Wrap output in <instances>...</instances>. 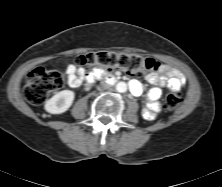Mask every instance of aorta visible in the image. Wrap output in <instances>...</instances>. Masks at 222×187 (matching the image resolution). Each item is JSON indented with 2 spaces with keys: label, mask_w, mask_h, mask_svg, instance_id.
Instances as JSON below:
<instances>
[{
  "label": "aorta",
  "mask_w": 222,
  "mask_h": 187,
  "mask_svg": "<svg viewBox=\"0 0 222 187\" xmlns=\"http://www.w3.org/2000/svg\"><path fill=\"white\" fill-rule=\"evenodd\" d=\"M116 90L120 93H124L127 91V84L125 82H119L116 85Z\"/></svg>",
  "instance_id": "1"
}]
</instances>
